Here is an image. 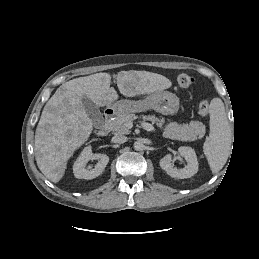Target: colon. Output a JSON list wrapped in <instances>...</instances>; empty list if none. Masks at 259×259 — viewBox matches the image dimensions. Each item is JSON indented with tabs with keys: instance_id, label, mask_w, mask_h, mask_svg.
<instances>
[{
	"instance_id": "obj_1",
	"label": "colon",
	"mask_w": 259,
	"mask_h": 259,
	"mask_svg": "<svg viewBox=\"0 0 259 259\" xmlns=\"http://www.w3.org/2000/svg\"><path fill=\"white\" fill-rule=\"evenodd\" d=\"M178 85L181 88H189L195 83V78L191 75L182 73L177 78ZM198 112L201 116H206L209 112V102L202 100L199 103Z\"/></svg>"
}]
</instances>
